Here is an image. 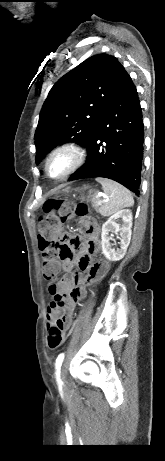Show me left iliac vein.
Returning <instances> with one entry per match:
<instances>
[{
  "instance_id": "1",
  "label": "left iliac vein",
  "mask_w": 165,
  "mask_h": 461,
  "mask_svg": "<svg viewBox=\"0 0 165 461\" xmlns=\"http://www.w3.org/2000/svg\"><path fill=\"white\" fill-rule=\"evenodd\" d=\"M65 366H66V363H64L60 369V375H59V378H60V381L65 384L66 383V375H65Z\"/></svg>"
}]
</instances>
